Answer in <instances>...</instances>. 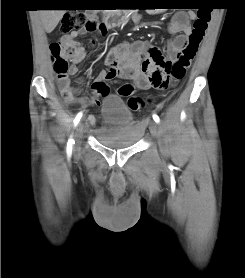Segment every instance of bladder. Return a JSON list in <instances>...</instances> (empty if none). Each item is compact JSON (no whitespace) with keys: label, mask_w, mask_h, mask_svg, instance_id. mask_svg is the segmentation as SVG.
<instances>
[{"label":"bladder","mask_w":245,"mask_h":278,"mask_svg":"<svg viewBox=\"0 0 245 278\" xmlns=\"http://www.w3.org/2000/svg\"><path fill=\"white\" fill-rule=\"evenodd\" d=\"M102 122L98 139L110 148L133 147L141 137L132 109L120 95H107L103 99Z\"/></svg>","instance_id":"bladder-1"}]
</instances>
